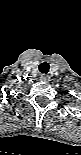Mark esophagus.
I'll return each mask as SVG.
<instances>
[{"instance_id":"1","label":"esophagus","mask_w":81,"mask_h":155,"mask_svg":"<svg viewBox=\"0 0 81 155\" xmlns=\"http://www.w3.org/2000/svg\"><path fill=\"white\" fill-rule=\"evenodd\" d=\"M40 80H42V81H50V77L48 76V75H46V74H42V75H40Z\"/></svg>"}]
</instances>
